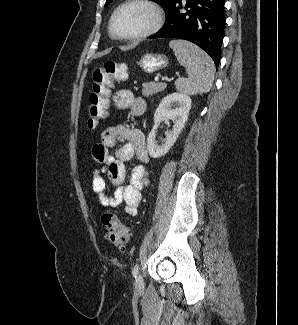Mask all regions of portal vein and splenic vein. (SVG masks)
Segmentation results:
<instances>
[{"mask_svg":"<svg viewBox=\"0 0 298 325\" xmlns=\"http://www.w3.org/2000/svg\"><path fill=\"white\" fill-rule=\"evenodd\" d=\"M155 80H159V76H155Z\"/></svg>","mask_w":298,"mask_h":325,"instance_id":"portal-vein-and-splenic-vein-1","label":"portal vein and splenic vein"}]
</instances>
